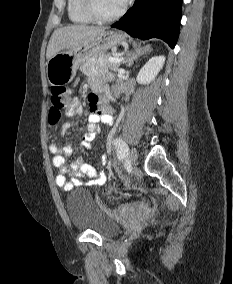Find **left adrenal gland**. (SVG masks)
Returning <instances> with one entry per match:
<instances>
[{"label": "left adrenal gland", "mask_w": 233, "mask_h": 284, "mask_svg": "<svg viewBox=\"0 0 233 284\" xmlns=\"http://www.w3.org/2000/svg\"><path fill=\"white\" fill-rule=\"evenodd\" d=\"M151 50L150 46L145 47V49L143 50H138L136 51V53H130L126 59V61L124 63L127 64L128 67L132 66V64L134 63V61L136 59H138V57H140L141 55H144L146 53H148Z\"/></svg>", "instance_id": "obj_1"}]
</instances>
